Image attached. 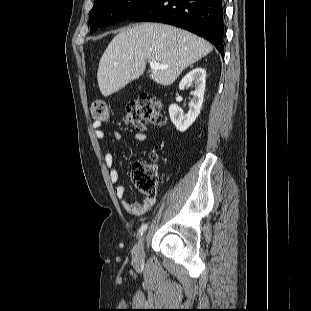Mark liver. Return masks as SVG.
I'll return each instance as SVG.
<instances>
[{
	"instance_id": "6515ba94",
	"label": "liver",
	"mask_w": 311,
	"mask_h": 311,
	"mask_svg": "<svg viewBox=\"0 0 311 311\" xmlns=\"http://www.w3.org/2000/svg\"><path fill=\"white\" fill-rule=\"evenodd\" d=\"M212 51L205 39L161 23H142L122 29L104 51L97 71L100 92L107 97L141 76L146 61L167 65L150 78L171 85L182 71Z\"/></svg>"
}]
</instances>
